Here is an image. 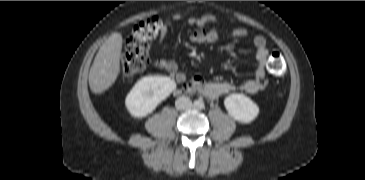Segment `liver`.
Here are the masks:
<instances>
[{
    "label": "liver",
    "mask_w": 365,
    "mask_h": 180,
    "mask_svg": "<svg viewBox=\"0 0 365 180\" xmlns=\"http://www.w3.org/2000/svg\"><path fill=\"white\" fill-rule=\"evenodd\" d=\"M122 44V35L115 32L97 52L89 72V86L93 93H103L116 81L120 74Z\"/></svg>",
    "instance_id": "obj_1"
}]
</instances>
